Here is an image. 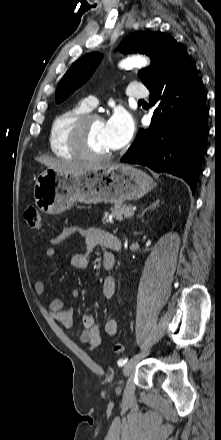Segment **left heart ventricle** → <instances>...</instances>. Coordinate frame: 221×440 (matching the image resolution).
<instances>
[{"mask_svg": "<svg viewBox=\"0 0 221 440\" xmlns=\"http://www.w3.org/2000/svg\"><path fill=\"white\" fill-rule=\"evenodd\" d=\"M87 141L90 149L95 153H106L112 150L105 135V122L102 120L91 122L87 131Z\"/></svg>", "mask_w": 221, "mask_h": 440, "instance_id": "left-heart-ventricle-1", "label": "left heart ventricle"}]
</instances>
